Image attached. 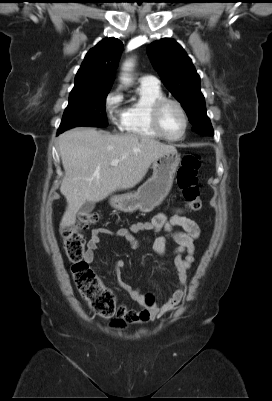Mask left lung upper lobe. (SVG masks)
<instances>
[{
	"instance_id": "5c2ea615",
	"label": "left lung upper lobe",
	"mask_w": 272,
	"mask_h": 401,
	"mask_svg": "<svg viewBox=\"0 0 272 401\" xmlns=\"http://www.w3.org/2000/svg\"><path fill=\"white\" fill-rule=\"evenodd\" d=\"M148 55L163 84L186 111L193 130L214 135L200 90V77L184 49L175 40L163 38L148 46Z\"/></svg>"
}]
</instances>
